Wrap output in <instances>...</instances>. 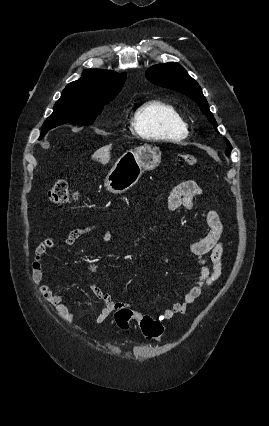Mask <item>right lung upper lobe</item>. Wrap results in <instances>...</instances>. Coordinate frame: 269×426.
<instances>
[{
  "instance_id": "right-lung-upper-lobe-1",
  "label": "right lung upper lobe",
  "mask_w": 269,
  "mask_h": 426,
  "mask_svg": "<svg viewBox=\"0 0 269 426\" xmlns=\"http://www.w3.org/2000/svg\"><path fill=\"white\" fill-rule=\"evenodd\" d=\"M126 73L90 69L82 77L66 86L62 93L83 94L94 97H115L123 87Z\"/></svg>"
}]
</instances>
